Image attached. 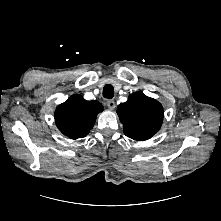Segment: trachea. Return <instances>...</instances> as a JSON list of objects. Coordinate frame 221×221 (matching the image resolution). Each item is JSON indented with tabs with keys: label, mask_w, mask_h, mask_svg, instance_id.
Wrapping results in <instances>:
<instances>
[{
	"label": "trachea",
	"mask_w": 221,
	"mask_h": 221,
	"mask_svg": "<svg viewBox=\"0 0 221 221\" xmlns=\"http://www.w3.org/2000/svg\"><path fill=\"white\" fill-rule=\"evenodd\" d=\"M114 96V88L111 84H106L103 88V97L112 99Z\"/></svg>",
	"instance_id": "1"
}]
</instances>
